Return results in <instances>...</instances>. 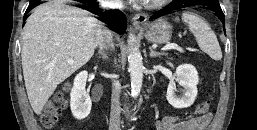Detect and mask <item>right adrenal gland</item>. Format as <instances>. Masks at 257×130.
<instances>
[{
    "label": "right adrenal gland",
    "instance_id": "1",
    "mask_svg": "<svg viewBox=\"0 0 257 130\" xmlns=\"http://www.w3.org/2000/svg\"><path fill=\"white\" fill-rule=\"evenodd\" d=\"M105 50H107V48L105 46H101L100 47V50H99V57H101L103 60H106L107 59V55L105 53Z\"/></svg>",
    "mask_w": 257,
    "mask_h": 130
}]
</instances>
